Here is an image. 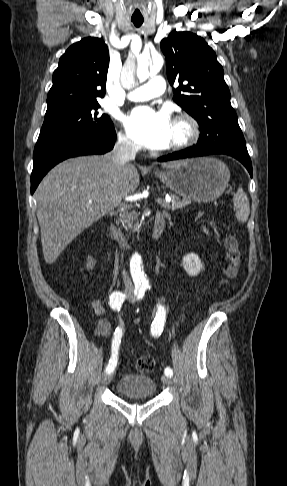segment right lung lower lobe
Returning <instances> with one entry per match:
<instances>
[{
    "label": "right lung lower lobe",
    "mask_w": 287,
    "mask_h": 486,
    "mask_svg": "<svg viewBox=\"0 0 287 486\" xmlns=\"http://www.w3.org/2000/svg\"><path fill=\"white\" fill-rule=\"evenodd\" d=\"M115 138L116 133L112 126L92 137L37 142L33 153L31 193H34L45 174L59 162L75 156L104 154L113 148Z\"/></svg>",
    "instance_id": "obj_1"
}]
</instances>
